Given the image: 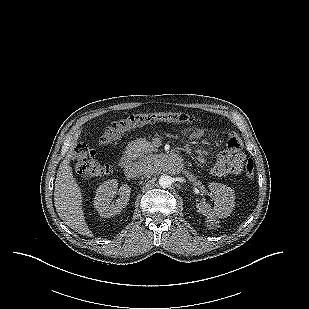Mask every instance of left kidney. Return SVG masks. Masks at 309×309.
I'll return each mask as SVG.
<instances>
[{
    "instance_id": "obj_1",
    "label": "left kidney",
    "mask_w": 309,
    "mask_h": 309,
    "mask_svg": "<svg viewBox=\"0 0 309 309\" xmlns=\"http://www.w3.org/2000/svg\"><path fill=\"white\" fill-rule=\"evenodd\" d=\"M208 188L215 195L214 207L205 201H200L196 204L198 212L210 220L228 217L235 206L234 191L224 184L214 182L209 183Z\"/></svg>"
}]
</instances>
